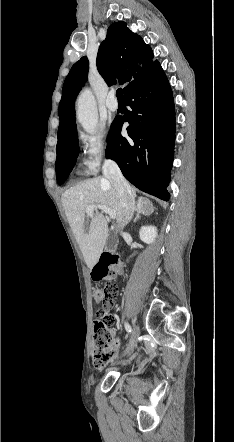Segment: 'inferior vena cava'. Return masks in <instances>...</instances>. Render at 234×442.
Listing matches in <instances>:
<instances>
[{"instance_id":"obj_1","label":"inferior vena cava","mask_w":234,"mask_h":442,"mask_svg":"<svg viewBox=\"0 0 234 442\" xmlns=\"http://www.w3.org/2000/svg\"><path fill=\"white\" fill-rule=\"evenodd\" d=\"M103 174L109 178L121 197V205L123 208V220L120 227L123 228L130 222L135 211V198L131 188L122 175L118 165L112 160H106L103 165Z\"/></svg>"}]
</instances>
